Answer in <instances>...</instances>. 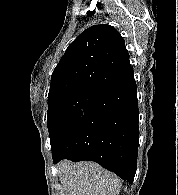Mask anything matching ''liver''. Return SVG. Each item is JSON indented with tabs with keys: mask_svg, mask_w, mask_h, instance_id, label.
Here are the masks:
<instances>
[{
	"mask_svg": "<svg viewBox=\"0 0 178 195\" xmlns=\"http://www.w3.org/2000/svg\"><path fill=\"white\" fill-rule=\"evenodd\" d=\"M61 195H119L122 183L94 162L63 161L58 166Z\"/></svg>",
	"mask_w": 178,
	"mask_h": 195,
	"instance_id": "6515ba94",
	"label": "liver"
}]
</instances>
